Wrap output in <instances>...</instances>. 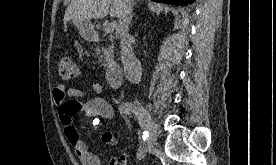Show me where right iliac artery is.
I'll return each instance as SVG.
<instances>
[{
  "label": "right iliac artery",
  "mask_w": 276,
  "mask_h": 165,
  "mask_svg": "<svg viewBox=\"0 0 276 165\" xmlns=\"http://www.w3.org/2000/svg\"><path fill=\"white\" fill-rule=\"evenodd\" d=\"M120 110H121V113H124V114H135L136 115V118L138 119L139 125L142 130V139H143V141H145L148 138V132L145 127V121H144L141 113L135 107V105L132 103H125L124 105H122ZM144 153H145L144 147L139 149V151L137 153V158L138 159L143 158Z\"/></svg>",
  "instance_id": "82829eb1"
}]
</instances>
